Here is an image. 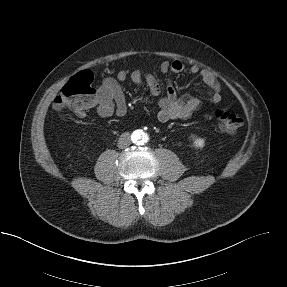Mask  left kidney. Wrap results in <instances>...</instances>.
<instances>
[{"label":"left kidney","instance_id":"1","mask_svg":"<svg viewBox=\"0 0 287 287\" xmlns=\"http://www.w3.org/2000/svg\"><path fill=\"white\" fill-rule=\"evenodd\" d=\"M192 139L194 140V146L197 148H203L205 145V140L200 137H196L194 135L191 136Z\"/></svg>","mask_w":287,"mask_h":287}]
</instances>
